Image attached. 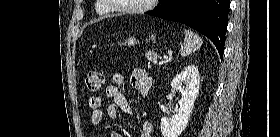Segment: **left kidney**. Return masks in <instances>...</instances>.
I'll list each match as a JSON object with an SVG mask.
<instances>
[{
  "mask_svg": "<svg viewBox=\"0 0 280 137\" xmlns=\"http://www.w3.org/2000/svg\"><path fill=\"white\" fill-rule=\"evenodd\" d=\"M173 89L181 93L180 108L172 118L163 117L160 127L163 137H179L185 130L199 93L200 76L196 65H188L171 82Z\"/></svg>",
  "mask_w": 280,
  "mask_h": 137,
  "instance_id": "obj_1",
  "label": "left kidney"
}]
</instances>
